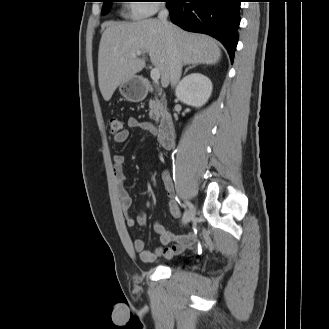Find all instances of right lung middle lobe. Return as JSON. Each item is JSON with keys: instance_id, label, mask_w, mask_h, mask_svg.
Returning <instances> with one entry per match:
<instances>
[{"instance_id": "right-lung-middle-lobe-1", "label": "right lung middle lobe", "mask_w": 329, "mask_h": 329, "mask_svg": "<svg viewBox=\"0 0 329 329\" xmlns=\"http://www.w3.org/2000/svg\"><path fill=\"white\" fill-rule=\"evenodd\" d=\"M115 0H103L104 4L102 7V11L101 13L104 15L108 12L110 6H111V2H114Z\"/></svg>"}]
</instances>
